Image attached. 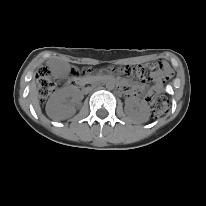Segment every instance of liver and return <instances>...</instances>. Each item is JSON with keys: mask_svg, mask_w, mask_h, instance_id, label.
Here are the masks:
<instances>
[{"mask_svg": "<svg viewBox=\"0 0 206 206\" xmlns=\"http://www.w3.org/2000/svg\"><path fill=\"white\" fill-rule=\"evenodd\" d=\"M29 98H30V101H31L34 109L36 110V112L41 113V108H40L39 100H38V92H37L36 84L34 81H32V83H31ZM47 114L50 118H52L56 121L65 120V119L70 117V114H68L66 112L49 113L47 111Z\"/></svg>", "mask_w": 206, "mask_h": 206, "instance_id": "6515ba94", "label": "liver"}]
</instances>
